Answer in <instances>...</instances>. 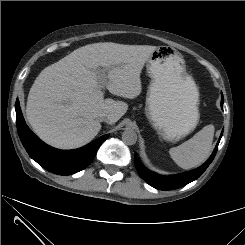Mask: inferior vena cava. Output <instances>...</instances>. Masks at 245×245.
I'll list each match as a JSON object with an SVG mask.
<instances>
[{
    "mask_svg": "<svg viewBox=\"0 0 245 245\" xmlns=\"http://www.w3.org/2000/svg\"><path fill=\"white\" fill-rule=\"evenodd\" d=\"M108 120H109V118L106 117V116H101V117L99 118V121H100V122H108Z\"/></svg>",
    "mask_w": 245,
    "mask_h": 245,
    "instance_id": "602c4592",
    "label": "inferior vena cava"
}]
</instances>
